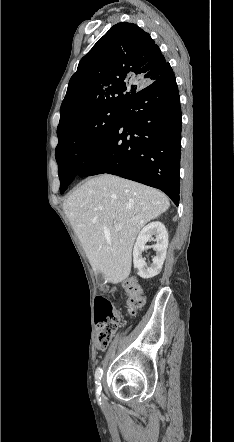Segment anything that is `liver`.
I'll return each mask as SVG.
<instances>
[{"label": "liver", "mask_w": 234, "mask_h": 442, "mask_svg": "<svg viewBox=\"0 0 234 442\" xmlns=\"http://www.w3.org/2000/svg\"><path fill=\"white\" fill-rule=\"evenodd\" d=\"M169 206L162 192L109 174L87 180L63 204L93 271L114 284L131 272L132 247L140 229ZM115 223L122 228L116 229Z\"/></svg>", "instance_id": "liver-1"}]
</instances>
